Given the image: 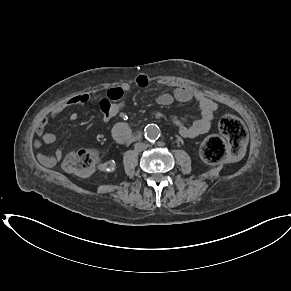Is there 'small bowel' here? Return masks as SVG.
<instances>
[{
	"label": "small bowel",
	"mask_w": 291,
	"mask_h": 291,
	"mask_svg": "<svg viewBox=\"0 0 291 291\" xmlns=\"http://www.w3.org/2000/svg\"><path fill=\"white\" fill-rule=\"evenodd\" d=\"M135 84L138 87L146 88L149 85V78L144 74H139L135 78ZM131 90L129 82H123L117 86L110 88L106 96L100 101V110L102 113L103 121L109 122L125 105L126 94ZM175 100L179 102L194 101L200 109V117L191 124L184 123L179 118H173L174 123L178 126L179 133L184 138H194L209 131L212 126L217 104L204 93L199 90L193 89L188 86L177 87L174 92L161 93L157 96L156 102L161 106H168ZM90 95L87 93L80 94L70 98L69 100L55 106L51 109L36 126L35 133L42 139L45 144H53L56 142V136L45 131V126L57 116H59L66 109L77 107L88 103ZM70 120L78 122L79 112L71 113ZM135 132L130 128L126 122H118L112 127V135L114 139L121 144H129L135 140ZM35 146L39 147L40 142L35 141ZM64 152L62 149H57L53 157H46L39 154L38 158L41 163L50 165L54 161H60L63 158Z\"/></svg>",
	"instance_id": "c3829d8e"
}]
</instances>
